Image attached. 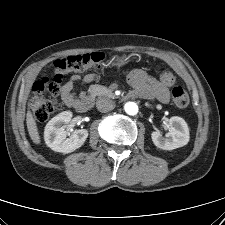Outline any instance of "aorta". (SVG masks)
I'll return each instance as SVG.
<instances>
[{
	"label": "aorta",
	"mask_w": 225,
	"mask_h": 225,
	"mask_svg": "<svg viewBox=\"0 0 225 225\" xmlns=\"http://www.w3.org/2000/svg\"><path fill=\"white\" fill-rule=\"evenodd\" d=\"M125 112L128 115H136L138 113V105L134 102H127L124 105Z\"/></svg>",
	"instance_id": "762f6f07"
}]
</instances>
